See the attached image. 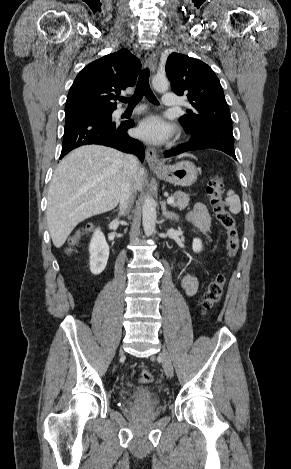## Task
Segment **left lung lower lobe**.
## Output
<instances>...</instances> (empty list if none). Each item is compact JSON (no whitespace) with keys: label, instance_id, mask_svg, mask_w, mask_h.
I'll return each mask as SVG.
<instances>
[{"label":"left lung lower lobe","instance_id":"1","mask_svg":"<svg viewBox=\"0 0 291 469\" xmlns=\"http://www.w3.org/2000/svg\"><path fill=\"white\" fill-rule=\"evenodd\" d=\"M205 148L221 150L236 159L234 151V137L232 131L222 129H207L192 134L191 139L185 145L166 151L164 155L171 157L180 153Z\"/></svg>","mask_w":291,"mask_h":469}]
</instances>
